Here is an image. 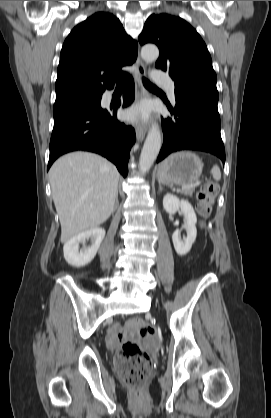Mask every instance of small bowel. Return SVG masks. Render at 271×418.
<instances>
[{
	"label": "small bowel",
	"mask_w": 271,
	"mask_h": 418,
	"mask_svg": "<svg viewBox=\"0 0 271 418\" xmlns=\"http://www.w3.org/2000/svg\"><path fill=\"white\" fill-rule=\"evenodd\" d=\"M136 324V321H132L131 323L128 324V327H132ZM124 336L123 331L119 330L118 328H115L111 331L109 338H108V343L110 346H116L119 343V340H121Z\"/></svg>",
	"instance_id": "c3829d8e"
}]
</instances>
